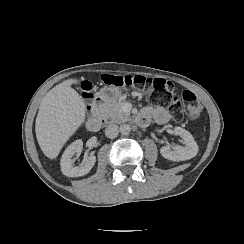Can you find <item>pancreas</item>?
Returning <instances> with one entry per match:
<instances>
[{"label":"pancreas","mask_w":244,"mask_h":244,"mask_svg":"<svg viewBox=\"0 0 244 244\" xmlns=\"http://www.w3.org/2000/svg\"><path fill=\"white\" fill-rule=\"evenodd\" d=\"M122 103L118 99L112 100L101 107L98 116L101 120L111 119L112 122L122 123L132 120L130 114L122 110Z\"/></svg>","instance_id":"1"}]
</instances>
